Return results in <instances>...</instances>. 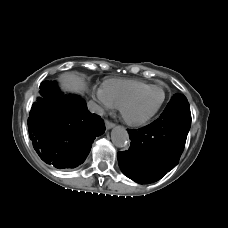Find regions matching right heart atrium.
Here are the masks:
<instances>
[{
  "mask_svg": "<svg viewBox=\"0 0 228 228\" xmlns=\"http://www.w3.org/2000/svg\"><path fill=\"white\" fill-rule=\"evenodd\" d=\"M95 98L98 100V102L104 107V108H112L113 105L110 103V101L106 98V96L103 94L102 90H98L94 94Z\"/></svg>",
  "mask_w": 228,
  "mask_h": 228,
  "instance_id": "obj_1",
  "label": "right heart atrium"
}]
</instances>
